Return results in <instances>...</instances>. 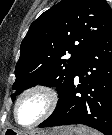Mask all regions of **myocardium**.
I'll use <instances>...</instances> for the list:
<instances>
[{
    "label": "myocardium",
    "instance_id": "f54148a6",
    "mask_svg": "<svg viewBox=\"0 0 112 135\" xmlns=\"http://www.w3.org/2000/svg\"><path fill=\"white\" fill-rule=\"evenodd\" d=\"M31 93H42V94H44L46 96L48 105H47L46 111L43 113V115L40 118H38L36 121H34L31 124L24 125V124L20 123L18 118H17V108H18V105H19L20 101L25 96H27ZM58 102H59L58 93L51 86H48L46 84L32 85V86L26 88L24 91H22L21 94L17 97V99L15 101V104H14V107H13L14 120L21 127H24V128L35 127V126L41 124L42 122H44L45 120H47L54 113L55 109L57 108Z\"/></svg>",
    "mask_w": 112,
    "mask_h": 135
}]
</instances>
